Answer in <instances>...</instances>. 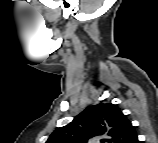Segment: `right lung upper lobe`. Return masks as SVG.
Returning a JSON list of instances; mask_svg holds the SVG:
<instances>
[{"mask_svg": "<svg viewBox=\"0 0 158 143\" xmlns=\"http://www.w3.org/2000/svg\"><path fill=\"white\" fill-rule=\"evenodd\" d=\"M135 143V127L117 105L99 103L89 106L66 126L57 128L46 143Z\"/></svg>", "mask_w": 158, "mask_h": 143, "instance_id": "1", "label": "right lung upper lobe"}]
</instances>
